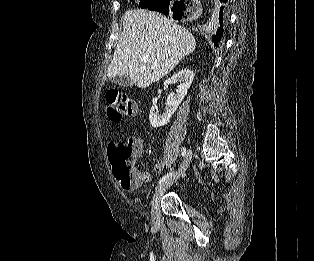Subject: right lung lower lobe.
Returning a JSON list of instances; mask_svg holds the SVG:
<instances>
[{"instance_id":"1","label":"right lung lower lobe","mask_w":314,"mask_h":261,"mask_svg":"<svg viewBox=\"0 0 314 261\" xmlns=\"http://www.w3.org/2000/svg\"><path fill=\"white\" fill-rule=\"evenodd\" d=\"M216 3L218 21L211 30V38L214 42L215 47H218L224 34L228 12V0H216ZM148 9L153 11H159L165 15H170L176 20H181L182 18H184V16H182L181 3L174 0H162L161 2L148 7Z\"/></svg>"}]
</instances>
